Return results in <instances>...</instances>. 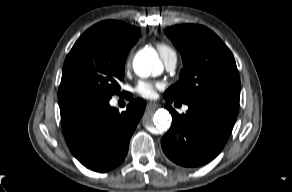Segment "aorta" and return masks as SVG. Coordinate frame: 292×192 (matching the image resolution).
<instances>
[{
  "label": "aorta",
  "instance_id": "aorta-1",
  "mask_svg": "<svg viewBox=\"0 0 292 192\" xmlns=\"http://www.w3.org/2000/svg\"><path fill=\"white\" fill-rule=\"evenodd\" d=\"M134 72L142 78L150 75H159L163 71V65L158 57V54L153 49L139 51L133 60ZM170 113L161 108L158 109L152 118L145 121V126L148 129L156 128L159 131H166L171 124Z\"/></svg>",
  "mask_w": 292,
  "mask_h": 192
}]
</instances>
